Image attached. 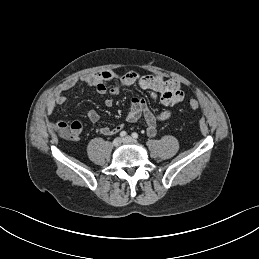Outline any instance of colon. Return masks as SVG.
I'll list each match as a JSON object with an SVG mask.
<instances>
[{
	"mask_svg": "<svg viewBox=\"0 0 259 259\" xmlns=\"http://www.w3.org/2000/svg\"><path fill=\"white\" fill-rule=\"evenodd\" d=\"M189 108L192 110H196L199 108V103L197 100L192 99L189 101ZM81 124L79 122H71V123H56L51 125V129L56 131L62 138L67 140H72L77 138V136L81 132Z\"/></svg>",
	"mask_w": 259,
	"mask_h": 259,
	"instance_id": "colon-1",
	"label": "colon"
}]
</instances>
